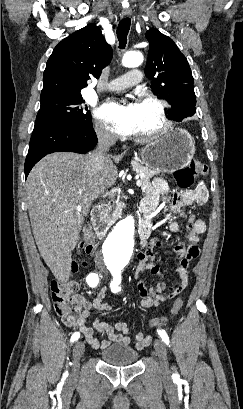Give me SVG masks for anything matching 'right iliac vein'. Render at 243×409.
<instances>
[{
    "label": "right iliac vein",
    "instance_id": "63e3f726",
    "mask_svg": "<svg viewBox=\"0 0 243 409\" xmlns=\"http://www.w3.org/2000/svg\"><path fill=\"white\" fill-rule=\"evenodd\" d=\"M85 350V345L81 341H77L73 348V358H74V372L76 373L79 367L80 358L82 357Z\"/></svg>",
    "mask_w": 243,
    "mask_h": 409
}]
</instances>
